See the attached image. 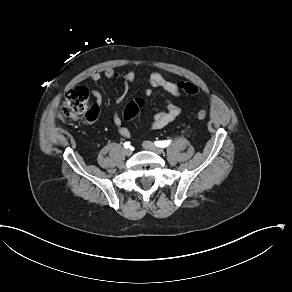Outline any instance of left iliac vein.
Segmentation results:
<instances>
[{"label":"left iliac vein","mask_w":292,"mask_h":292,"mask_svg":"<svg viewBox=\"0 0 292 292\" xmlns=\"http://www.w3.org/2000/svg\"><path fill=\"white\" fill-rule=\"evenodd\" d=\"M142 145L146 150L152 151V152L157 153L159 155L163 153V150L161 148L157 147L152 142L144 141Z\"/></svg>","instance_id":"left-iliac-vein-1"}]
</instances>
